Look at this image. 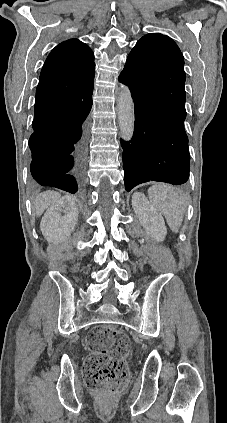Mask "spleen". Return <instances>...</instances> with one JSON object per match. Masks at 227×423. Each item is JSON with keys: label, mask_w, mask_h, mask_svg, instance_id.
Returning a JSON list of instances; mask_svg holds the SVG:
<instances>
[{"label": "spleen", "mask_w": 227, "mask_h": 423, "mask_svg": "<svg viewBox=\"0 0 227 423\" xmlns=\"http://www.w3.org/2000/svg\"><path fill=\"white\" fill-rule=\"evenodd\" d=\"M149 200L154 210L162 213L172 231H179L186 211V200L170 184H155L148 190Z\"/></svg>", "instance_id": "obj_1"}]
</instances>
